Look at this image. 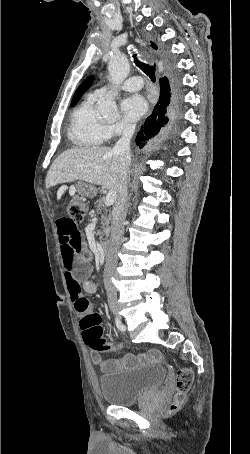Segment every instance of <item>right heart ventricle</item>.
<instances>
[{"instance_id":"1","label":"right heart ventricle","mask_w":250,"mask_h":454,"mask_svg":"<svg viewBox=\"0 0 250 454\" xmlns=\"http://www.w3.org/2000/svg\"><path fill=\"white\" fill-rule=\"evenodd\" d=\"M97 99L88 96L73 111L68 127V138L79 148H94L110 137L108 126L96 114Z\"/></svg>"}]
</instances>
